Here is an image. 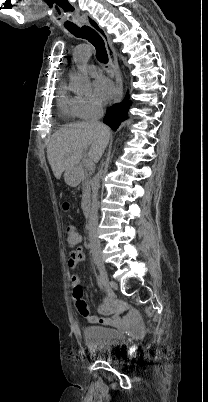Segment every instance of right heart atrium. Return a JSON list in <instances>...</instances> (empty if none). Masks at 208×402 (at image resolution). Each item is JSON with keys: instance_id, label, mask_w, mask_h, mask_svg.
I'll use <instances>...</instances> for the list:
<instances>
[{"instance_id": "obj_1", "label": "right heart atrium", "mask_w": 208, "mask_h": 402, "mask_svg": "<svg viewBox=\"0 0 208 402\" xmlns=\"http://www.w3.org/2000/svg\"><path fill=\"white\" fill-rule=\"evenodd\" d=\"M77 106L82 120L96 118L103 108L101 100L92 92L79 93L77 95Z\"/></svg>"}]
</instances>
